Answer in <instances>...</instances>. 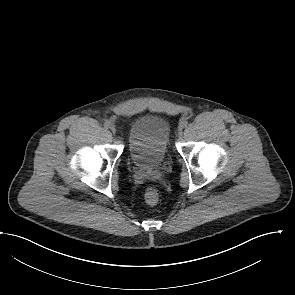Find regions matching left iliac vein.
<instances>
[{
    "label": "left iliac vein",
    "mask_w": 295,
    "mask_h": 295,
    "mask_svg": "<svg viewBox=\"0 0 295 295\" xmlns=\"http://www.w3.org/2000/svg\"><path fill=\"white\" fill-rule=\"evenodd\" d=\"M182 129H183V126L180 124L179 126V129H178V135L181 136L182 135Z\"/></svg>",
    "instance_id": "obj_1"
}]
</instances>
